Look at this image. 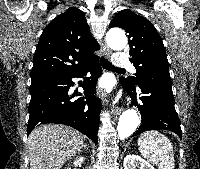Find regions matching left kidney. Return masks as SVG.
<instances>
[{"mask_svg": "<svg viewBox=\"0 0 200 169\" xmlns=\"http://www.w3.org/2000/svg\"><path fill=\"white\" fill-rule=\"evenodd\" d=\"M124 169H155L149 162L138 155L129 154L124 158Z\"/></svg>", "mask_w": 200, "mask_h": 169, "instance_id": "5707ae66", "label": "left kidney"}]
</instances>
